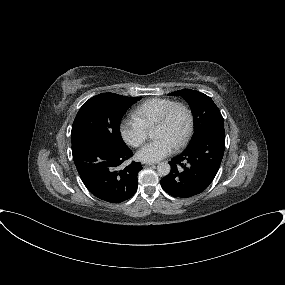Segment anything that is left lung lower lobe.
Listing matches in <instances>:
<instances>
[{"mask_svg": "<svg viewBox=\"0 0 285 285\" xmlns=\"http://www.w3.org/2000/svg\"><path fill=\"white\" fill-rule=\"evenodd\" d=\"M224 149V125L212 126L169 162L171 171L161 179L162 188L180 198L203 192L218 172Z\"/></svg>", "mask_w": 285, "mask_h": 285, "instance_id": "0a47b994", "label": "left lung lower lobe"}]
</instances>
